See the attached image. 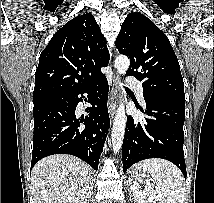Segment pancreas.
I'll list each match as a JSON object with an SVG mask.
<instances>
[{"instance_id": "cf45deb5", "label": "pancreas", "mask_w": 214, "mask_h": 203, "mask_svg": "<svg viewBox=\"0 0 214 203\" xmlns=\"http://www.w3.org/2000/svg\"><path fill=\"white\" fill-rule=\"evenodd\" d=\"M134 198H136V200L138 201V203H155V202H153L152 200H148V201H146L145 199H141V198H139V197H134Z\"/></svg>"}]
</instances>
